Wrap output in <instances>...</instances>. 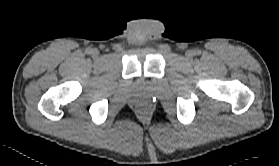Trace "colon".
Here are the masks:
<instances>
[{"mask_svg": "<svg viewBox=\"0 0 279 166\" xmlns=\"http://www.w3.org/2000/svg\"><path fill=\"white\" fill-rule=\"evenodd\" d=\"M138 110L141 113H145V112H147L149 110V106L147 104L141 105V106H139Z\"/></svg>", "mask_w": 279, "mask_h": 166, "instance_id": "obj_1", "label": "colon"}]
</instances>
